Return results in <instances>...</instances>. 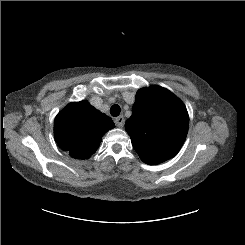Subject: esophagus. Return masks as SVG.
<instances>
[{"label": "esophagus", "instance_id": "esophagus-1", "mask_svg": "<svg viewBox=\"0 0 245 245\" xmlns=\"http://www.w3.org/2000/svg\"><path fill=\"white\" fill-rule=\"evenodd\" d=\"M124 123H125V119H124V116L121 115L117 118H115V124L119 127V128H122L124 126Z\"/></svg>", "mask_w": 245, "mask_h": 245}]
</instances>
